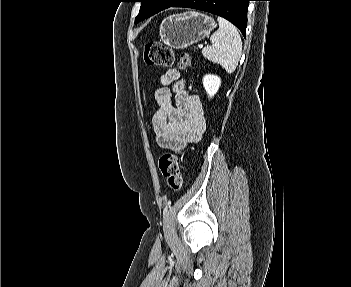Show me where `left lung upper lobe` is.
Masks as SVG:
<instances>
[{"mask_svg": "<svg viewBox=\"0 0 351 287\" xmlns=\"http://www.w3.org/2000/svg\"><path fill=\"white\" fill-rule=\"evenodd\" d=\"M141 2L139 14L135 18V23L147 19L154 14L165 10L175 4L178 0H137Z\"/></svg>", "mask_w": 351, "mask_h": 287, "instance_id": "obj_1", "label": "left lung upper lobe"}]
</instances>
